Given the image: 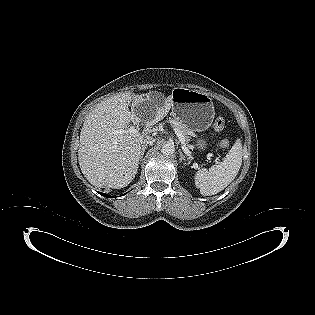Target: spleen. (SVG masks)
Listing matches in <instances>:
<instances>
[{
    "mask_svg": "<svg viewBox=\"0 0 315 315\" xmlns=\"http://www.w3.org/2000/svg\"><path fill=\"white\" fill-rule=\"evenodd\" d=\"M242 156V143L237 139L222 162L212 165L209 170L199 169L194 179L201 195H214L226 188L237 176L242 165Z\"/></svg>",
    "mask_w": 315,
    "mask_h": 315,
    "instance_id": "obj_1",
    "label": "spleen"
}]
</instances>
